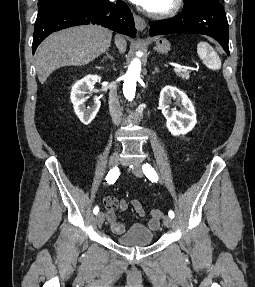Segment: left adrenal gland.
Returning <instances> with one entry per match:
<instances>
[{
	"label": "left adrenal gland",
	"instance_id": "1",
	"mask_svg": "<svg viewBox=\"0 0 255 287\" xmlns=\"http://www.w3.org/2000/svg\"><path fill=\"white\" fill-rule=\"evenodd\" d=\"M159 68H155L154 72H152V74H156V72H158Z\"/></svg>",
	"mask_w": 255,
	"mask_h": 287
}]
</instances>
